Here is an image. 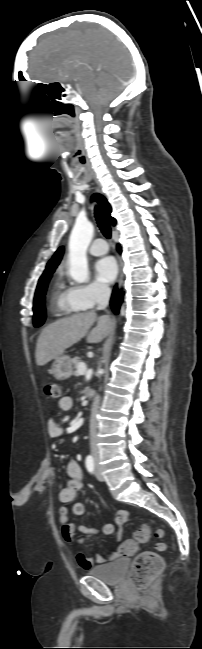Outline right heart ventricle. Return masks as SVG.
<instances>
[{
  "label": "right heart ventricle",
  "mask_w": 202,
  "mask_h": 649,
  "mask_svg": "<svg viewBox=\"0 0 202 649\" xmlns=\"http://www.w3.org/2000/svg\"><path fill=\"white\" fill-rule=\"evenodd\" d=\"M72 288L67 285L62 274H58L51 289V310L60 315H69L78 312L80 308L76 306L70 296Z\"/></svg>",
  "instance_id": "e07e8e85"
}]
</instances>
